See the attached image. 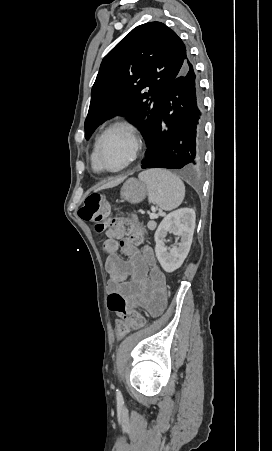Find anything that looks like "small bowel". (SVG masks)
I'll list each match as a JSON object with an SVG mask.
<instances>
[{
	"instance_id": "1",
	"label": "small bowel",
	"mask_w": 272,
	"mask_h": 451,
	"mask_svg": "<svg viewBox=\"0 0 272 451\" xmlns=\"http://www.w3.org/2000/svg\"><path fill=\"white\" fill-rule=\"evenodd\" d=\"M124 229L126 236L119 238L117 231ZM130 227L109 228L103 251L110 295L120 294L134 303L145 306L156 315L167 303L165 276L157 264L153 249L144 245L137 249L131 238ZM119 250L128 257L124 259Z\"/></svg>"
}]
</instances>
